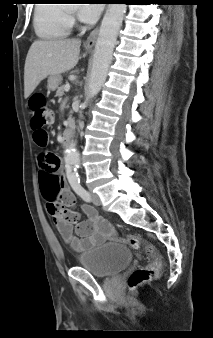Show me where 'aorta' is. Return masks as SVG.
<instances>
[{
	"instance_id": "obj_1",
	"label": "aorta",
	"mask_w": 213,
	"mask_h": 338,
	"mask_svg": "<svg viewBox=\"0 0 213 338\" xmlns=\"http://www.w3.org/2000/svg\"><path fill=\"white\" fill-rule=\"evenodd\" d=\"M125 12V4H109L107 7L95 45L93 65L87 89V100L95 97L106 81ZM79 163V153L75 148V143L72 142L65 152V168L69 179L77 178Z\"/></svg>"
}]
</instances>
